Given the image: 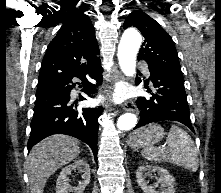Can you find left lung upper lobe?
Listing matches in <instances>:
<instances>
[{
	"instance_id": "obj_1",
	"label": "left lung upper lobe",
	"mask_w": 221,
	"mask_h": 193,
	"mask_svg": "<svg viewBox=\"0 0 221 193\" xmlns=\"http://www.w3.org/2000/svg\"><path fill=\"white\" fill-rule=\"evenodd\" d=\"M124 29L136 27L144 36L138 60H145L149 66L182 74L178 54L170 35L149 15L134 11L126 18Z\"/></svg>"
}]
</instances>
